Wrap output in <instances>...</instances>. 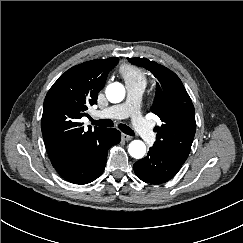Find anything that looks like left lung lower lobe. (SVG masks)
<instances>
[{
	"mask_svg": "<svg viewBox=\"0 0 243 243\" xmlns=\"http://www.w3.org/2000/svg\"><path fill=\"white\" fill-rule=\"evenodd\" d=\"M184 162L153 146L148 155L133 165L135 174L144 182L161 184L172 179Z\"/></svg>",
	"mask_w": 243,
	"mask_h": 243,
	"instance_id": "0a47b994",
	"label": "left lung lower lobe"
}]
</instances>
